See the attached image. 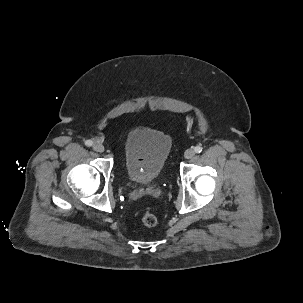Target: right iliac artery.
Segmentation results:
<instances>
[{"instance_id":"1","label":"right iliac artery","mask_w":303,"mask_h":303,"mask_svg":"<svg viewBox=\"0 0 303 303\" xmlns=\"http://www.w3.org/2000/svg\"><path fill=\"white\" fill-rule=\"evenodd\" d=\"M92 144H93V142H92L91 140H87V141L85 142V145H86V146H92Z\"/></svg>"}]
</instances>
